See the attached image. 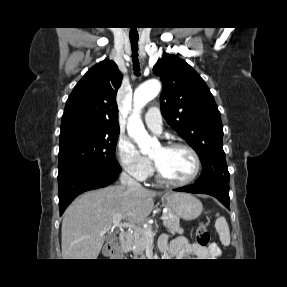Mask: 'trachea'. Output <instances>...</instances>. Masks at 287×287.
Listing matches in <instances>:
<instances>
[{
    "mask_svg": "<svg viewBox=\"0 0 287 287\" xmlns=\"http://www.w3.org/2000/svg\"><path fill=\"white\" fill-rule=\"evenodd\" d=\"M132 51H133V62H134V70L136 72V75H139V66H138V36H130Z\"/></svg>",
    "mask_w": 287,
    "mask_h": 287,
    "instance_id": "3493384b",
    "label": "trachea"
}]
</instances>
